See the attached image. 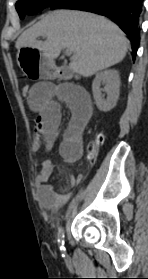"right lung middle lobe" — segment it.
I'll return each mask as SVG.
<instances>
[{"label":"right lung middle lobe","mask_w":148,"mask_h":279,"mask_svg":"<svg viewBox=\"0 0 148 279\" xmlns=\"http://www.w3.org/2000/svg\"><path fill=\"white\" fill-rule=\"evenodd\" d=\"M60 1L62 0H18L16 9L19 17L23 19L25 15H33Z\"/></svg>","instance_id":"right-lung-middle-lobe-1"}]
</instances>
